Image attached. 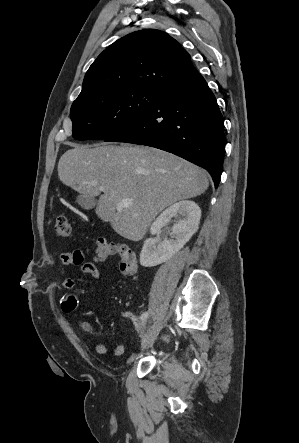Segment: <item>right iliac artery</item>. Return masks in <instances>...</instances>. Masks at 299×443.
<instances>
[{
  "mask_svg": "<svg viewBox=\"0 0 299 443\" xmlns=\"http://www.w3.org/2000/svg\"><path fill=\"white\" fill-rule=\"evenodd\" d=\"M148 316H149V313H148V312H144V313L141 315L140 319H141L142 323H144V322L147 320Z\"/></svg>",
  "mask_w": 299,
  "mask_h": 443,
  "instance_id": "right-iliac-artery-1",
  "label": "right iliac artery"
}]
</instances>
